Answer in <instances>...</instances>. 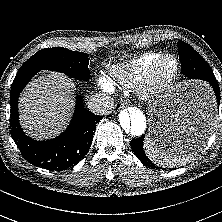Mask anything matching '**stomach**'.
Returning a JSON list of instances; mask_svg holds the SVG:
<instances>
[{
  "label": "stomach",
  "mask_w": 222,
  "mask_h": 222,
  "mask_svg": "<svg viewBox=\"0 0 222 222\" xmlns=\"http://www.w3.org/2000/svg\"><path fill=\"white\" fill-rule=\"evenodd\" d=\"M213 110L214 99L207 85L197 81L175 84L150 106L147 137L165 148H175L180 134L196 132V144L187 151H198L210 136ZM206 120L207 129L201 131L200 124Z\"/></svg>",
  "instance_id": "obj_1"
}]
</instances>
